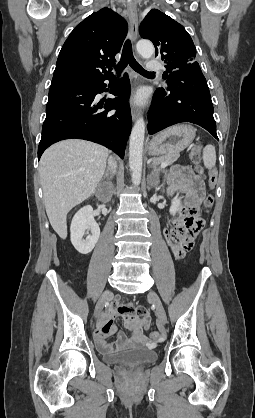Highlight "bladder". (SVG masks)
<instances>
[{
	"mask_svg": "<svg viewBox=\"0 0 255 418\" xmlns=\"http://www.w3.org/2000/svg\"><path fill=\"white\" fill-rule=\"evenodd\" d=\"M157 357L158 353L155 350L135 346L119 352L106 354L104 360L110 364L143 365L154 362Z\"/></svg>",
	"mask_w": 255,
	"mask_h": 418,
	"instance_id": "31cf9c89",
	"label": "bladder"
}]
</instances>
